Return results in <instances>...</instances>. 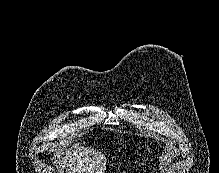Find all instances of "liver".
<instances>
[{
    "instance_id": "liver-1",
    "label": "liver",
    "mask_w": 219,
    "mask_h": 173,
    "mask_svg": "<svg viewBox=\"0 0 219 173\" xmlns=\"http://www.w3.org/2000/svg\"><path fill=\"white\" fill-rule=\"evenodd\" d=\"M73 147L75 149L66 151L67 173H103L106 170V161L102 162L104 156L100 152L78 144Z\"/></svg>"
}]
</instances>
